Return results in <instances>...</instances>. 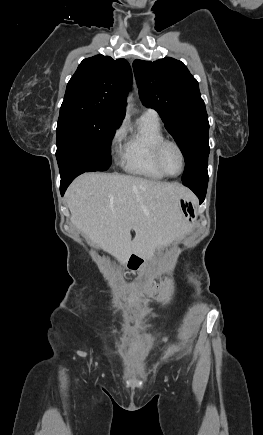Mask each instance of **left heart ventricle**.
Instances as JSON below:
<instances>
[{"mask_svg":"<svg viewBox=\"0 0 263 435\" xmlns=\"http://www.w3.org/2000/svg\"><path fill=\"white\" fill-rule=\"evenodd\" d=\"M162 164L165 170L170 174H177L181 170L182 162L178 150L172 146L167 145L162 152Z\"/></svg>","mask_w":263,"mask_h":435,"instance_id":"left-heart-ventricle-1","label":"left heart ventricle"}]
</instances>
